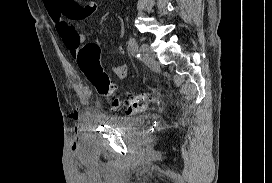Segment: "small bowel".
Segmentation results:
<instances>
[{"instance_id": "1", "label": "small bowel", "mask_w": 272, "mask_h": 183, "mask_svg": "<svg viewBox=\"0 0 272 183\" xmlns=\"http://www.w3.org/2000/svg\"><path fill=\"white\" fill-rule=\"evenodd\" d=\"M43 4L50 18L56 24L64 45L70 54L77 58L86 36L84 33L76 32L71 21L91 16L96 12L97 4L90 0H43ZM118 52L123 54V47H118ZM113 72L119 79H125L129 69L127 65L119 64L113 68Z\"/></svg>"}]
</instances>
